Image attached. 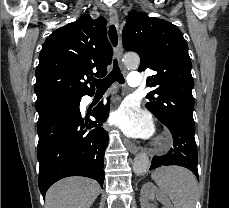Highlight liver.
Returning a JSON list of instances; mask_svg holds the SVG:
<instances>
[{
	"mask_svg": "<svg viewBox=\"0 0 229 208\" xmlns=\"http://www.w3.org/2000/svg\"><path fill=\"white\" fill-rule=\"evenodd\" d=\"M100 194V186L88 178H64L49 188L46 208H90Z\"/></svg>",
	"mask_w": 229,
	"mask_h": 208,
	"instance_id": "1",
	"label": "liver"
}]
</instances>
